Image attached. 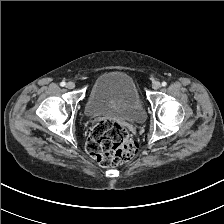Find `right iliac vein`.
Segmentation results:
<instances>
[{"label":"right iliac vein","mask_w":224,"mask_h":224,"mask_svg":"<svg viewBox=\"0 0 224 224\" xmlns=\"http://www.w3.org/2000/svg\"><path fill=\"white\" fill-rule=\"evenodd\" d=\"M66 87H67L68 89H74V88H75V83L72 82V81H70V82H68V83L66 84Z\"/></svg>","instance_id":"obj_1"}]
</instances>
